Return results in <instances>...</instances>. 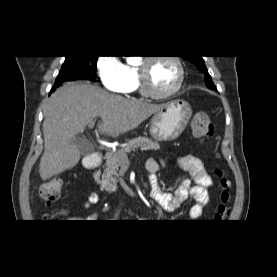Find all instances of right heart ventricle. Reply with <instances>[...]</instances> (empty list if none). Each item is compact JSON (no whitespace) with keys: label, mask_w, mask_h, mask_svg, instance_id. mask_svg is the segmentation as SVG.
I'll return each mask as SVG.
<instances>
[{"label":"right heart ventricle","mask_w":277,"mask_h":277,"mask_svg":"<svg viewBox=\"0 0 277 277\" xmlns=\"http://www.w3.org/2000/svg\"><path fill=\"white\" fill-rule=\"evenodd\" d=\"M127 67L130 75V83H129L127 92L137 91L139 88L138 68L132 65Z\"/></svg>","instance_id":"right-heart-ventricle-1"}]
</instances>
